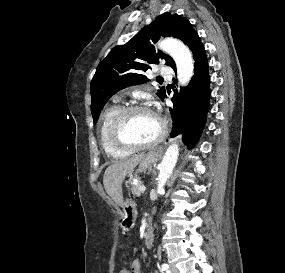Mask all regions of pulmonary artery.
<instances>
[{
  "label": "pulmonary artery",
  "instance_id": "obj_1",
  "mask_svg": "<svg viewBox=\"0 0 285 273\" xmlns=\"http://www.w3.org/2000/svg\"><path fill=\"white\" fill-rule=\"evenodd\" d=\"M159 74L164 78H170L173 75V70L170 67H161Z\"/></svg>",
  "mask_w": 285,
  "mask_h": 273
}]
</instances>
